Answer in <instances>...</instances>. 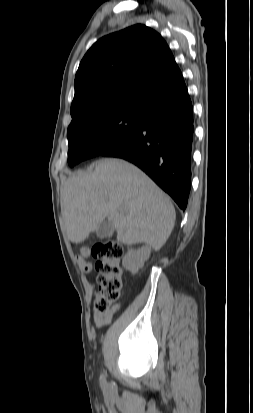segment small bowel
<instances>
[{
	"instance_id": "obj_1",
	"label": "small bowel",
	"mask_w": 253,
	"mask_h": 413,
	"mask_svg": "<svg viewBox=\"0 0 253 413\" xmlns=\"http://www.w3.org/2000/svg\"><path fill=\"white\" fill-rule=\"evenodd\" d=\"M90 251L88 248H81L79 254L76 257L77 264L80 270L84 273H89L92 271V264L89 261ZM119 306L114 305L106 314H95L93 321L95 325L99 328L108 325L114 318L115 314L118 312Z\"/></svg>"
}]
</instances>
